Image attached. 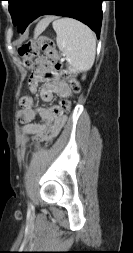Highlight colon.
<instances>
[{
	"label": "colon",
	"instance_id": "5ec220e1",
	"mask_svg": "<svg viewBox=\"0 0 133 253\" xmlns=\"http://www.w3.org/2000/svg\"><path fill=\"white\" fill-rule=\"evenodd\" d=\"M40 53H43L45 56H54V61H51L54 63V68L56 70L61 69V64L58 62V53L55 48V44L50 38L46 36H39L22 44L18 48V54L22 58L24 65L28 68L32 66L33 61L38 58ZM66 83H69L71 89L74 92L79 91L80 85L75 78H66ZM70 109L71 101L68 99H63L54 108V114H65L68 113Z\"/></svg>",
	"mask_w": 133,
	"mask_h": 253
}]
</instances>
